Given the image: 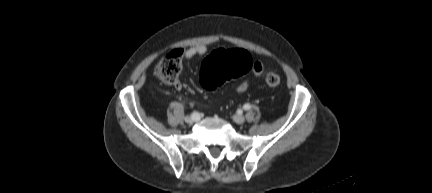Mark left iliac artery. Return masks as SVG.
<instances>
[{"label":"left iliac artery","instance_id":"44dca946","mask_svg":"<svg viewBox=\"0 0 432 193\" xmlns=\"http://www.w3.org/2000/svg\"><path fill=\"white\" fill-rule=\"evenodd\" d=\"M250 108H251V105L248 103L243 106L244 110H249Z\"/></svg>","mask_w":432,"mask_h":193}]
</instances>
